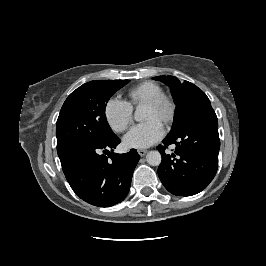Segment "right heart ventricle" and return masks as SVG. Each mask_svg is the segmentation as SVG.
Masks as SVG:
<instances>
[{
	"label": "right heart ventricle",
	"instance_id": "right-heart-ventricle-1",
	"mask_svg": "<svg viewBox=\"0 0 266 266\" xmlns=\"http://www.w3.org/2000/svg\"><path fill=\"white\" fill-rule=\"evenodd\" d=\"M164 94L162 87L154 82L145 81L133 87L128 95L131 104L138 106Z\"/></svg>",
	"mask_w": 266,
	"mask_h": 266
}]
</instances>
